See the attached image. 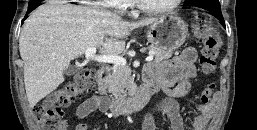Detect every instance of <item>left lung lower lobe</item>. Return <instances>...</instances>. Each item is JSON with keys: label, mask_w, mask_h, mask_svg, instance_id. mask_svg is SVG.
Masks as SVG:
<instances>
[{"label": "left lung lower lobe", "mask_w": 257, "mask_h": 130, "mask_svg": "<svg viewBox=\"0 0 257 130\" xmlns=\"http://www.w3.org/2000/svg\"><path fill=\"white\" fill-rule=\"evenodd\" d=\"M204 9L210 11V13L217 17L218 19L221 20L223 26L225 27V22H224V19H223V16H222V13H221V8L220 6L219 7H215V6H210V7H205Z\"/></svg>", "instance_id": "obj_1"}]
</instances>
